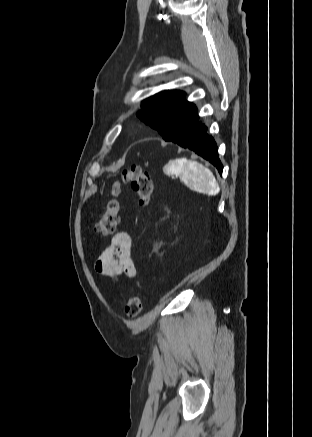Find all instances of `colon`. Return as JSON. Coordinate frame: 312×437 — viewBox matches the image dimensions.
Segmentation results:
<instances>
[{
  "instance_id": "colon-1",
  "label": "colon",
  "mask_w": 312,
  "mask_h": 437,
  "mask_svg": "<svg viewBox=\"0 0 312 437\" xmlns=\"http://www.w3.org/2000/svg\"><path fill=\"white\" fill-rule=\"evenodd\" d=\"M129 184L138 197V204L141 209L149 206L153 194V182L150 174L139 165H132L122 170L120 180L113 183L110 190V197L105 203L100 219L96 222L94 229L103 236H110L115 233L120 221L121 205L119 201L120 184ZM142 310L141 299L131 296L127 299L125 312L127 317L136 318Z\"/></svg>"
}]
</instances>
